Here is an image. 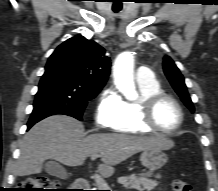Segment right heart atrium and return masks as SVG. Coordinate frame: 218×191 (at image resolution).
Returning <instances> with one entry per match:
<instances>
[{
	"instance_id": "obj_1",
	"label": "right heart atrium",
	"mask_w": 218,
	"mask_h": 191,
	"mask_svg": "<svg viewBox=\"0 0 218 191\" xmlns=\"http://www.w3.org/2000/svg\"><path fill=\"white\" fill-rule=\"evenodd\" d=\"M122 99L113 88L105 89L96 105L94 120L98 127L103 129L113 128L120 115Z\"/></svg>"
}]
</instances>
